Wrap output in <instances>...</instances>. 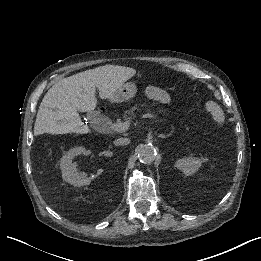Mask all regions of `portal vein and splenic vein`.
Wrapping results in <instances>:
<instances>
[{
  "mask_svg": "<svg viewBox=\"0 0 261 261\" xmlns=\"http://www.w3.org/2000/svg\"><path fill=\"white\" fill-rule=\"evenodd\" d=\"M142 118L144 120H148V119H152V120H155L157 118V115L155 113H150V112H146L142 115ZM129 127V123L127 122H115L112 124V128L113 130H115L116 132H119V133H123L125 132Z\"/></svg>",
  "mask_w": 261,
  "mask_h": 261,
  "instance_id": "1",
  "label": "portal vein and splenic vein"
}]
</instances>
